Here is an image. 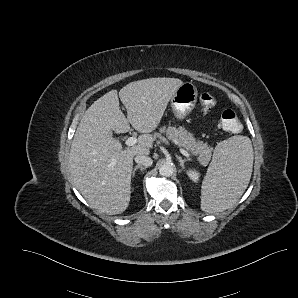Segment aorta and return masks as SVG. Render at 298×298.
<instances>
[{
	"label": "aorta",
	"mask_w": 298,
	"mask_h": 298,
	"mask_svg": "<svg viewBox=\"0 0 298 298\" xmlns=\"http://www.w3.org/2000/svg\"><path fill=\"white\" fill-rule=\"evenodd\" d=\"M174 165L172 163L165 162L160 165L158 171L161 176L169 177L174 173Z\"/></svg>",
	"instance_id": "762f6f07"
}]
</instances>
